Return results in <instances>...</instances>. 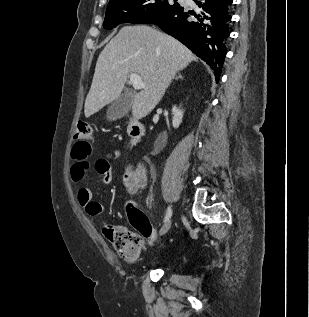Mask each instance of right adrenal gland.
Returning <instances> with one entry per match:
<instances>
[{"instance_id":"right-adrenal-gland-1","label":"right adrenal gland","mask_w":309,"mask_h":317,"mask_svg":"<svg viewBox=\"0 0 309 317\" xmlns=\"http://www.w3.org/2000/svg\"><path fill=\"white\" fill-rule=\"evenodd\" d=\"M179 78H182V75L180 73H178V75L174 77V79H179Z\"/></svg>"}]
</instances>
